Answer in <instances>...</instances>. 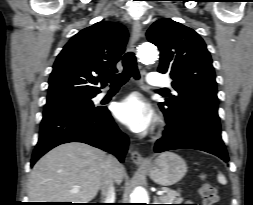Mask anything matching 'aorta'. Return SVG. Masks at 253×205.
Returning a JSON list of instances; mask_svg holds the SVG:
<instances>
[{"label":"aorta","instance_id":"aorta-1","mask_svg":"<svg viewBox=\"0 0 253 205\" xmlns=\"http://www.w3.org/2000/svg\"><path fill=\"white\" fill-rule=\"evenodd\" d=\"M138 56L144 64H153L158 58V51L154 44L146 42L140 45ZM147 197L143 194H135L132 203H146Z\"/></svg>","mask_w":253,"mask_h":205}]
</instances>
